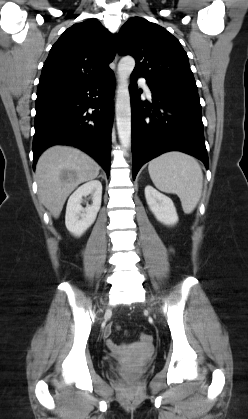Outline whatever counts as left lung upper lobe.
I'll return each instance as SVG.
<instances>
[{
    "label": "left lung upper lobe",
    "instance_id": "obj_1",
    "mask_svg": "<svg viewBox=\"0 0 248 419\" xmlns=\"http://www.w3.org/2000/svg\"><path fill=\"white\" fill-rule=\"evenodd\" d=\"M118 52L135 58L132 73L148 83L172 92L198 93L186 52L163 27L140 17L131 18L119 31Z\"/></svg>",
    "mask_w": 248,
    "mask_h": 419
}]
</instances>
